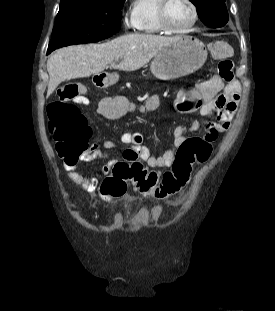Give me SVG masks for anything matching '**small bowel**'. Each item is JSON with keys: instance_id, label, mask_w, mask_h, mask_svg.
<instances>
[{"instance_id": "small-bowel-1", "label": "small bowel", "mask_w": 275, "mask_h": 311, "mask_svg": "<svg viewBox=\"0 0 275 311\" xmlns=\"http://www.w3.org/2000/svg\"><path fill=\"white\" fill-rule=\"evenodd\" d=\"M239 93L240 86L237 81L224 83L219 76L210 77L192 89L187 97L176 100L175 108L183 114L199 113L204 117H216V121H208L202 126L198 121L193 122L190 126H177L173 130V148L166 150L160 156L151 155L149 148L143 142L141 133L124 132L120 136V141L132 146L131 149H123L124 160H141L150 168L170 167L174 162L176 149L187 135L201 128L205 132V136L217 135L229 127L237 109ZM154 108L147 106L144 107V111ZM117 148V143L109 139L93 143L79 158L75 160L64 159L63 167L68 177L75 184L91 194H96L97 190H100V181L104 179L105 175H109L113 167L121 161L118 159L108 160L94 176H87L78 172V162L105 159L107 154L102 149L113 150ZM71 212L79 213L80 207L72 206Z\"/></svg>"}]
</instances>
